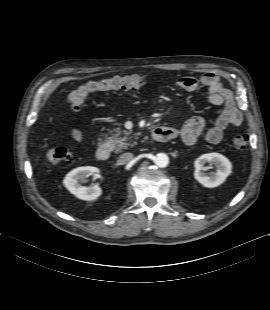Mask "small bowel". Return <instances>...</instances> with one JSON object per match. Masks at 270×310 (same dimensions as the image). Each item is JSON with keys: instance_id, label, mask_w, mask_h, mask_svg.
<instances>
[{"instance_id": "small-bowel-1", "label": "small bowel", "mask_w": 270, "mask_h": 310, "mask_svg": "<svg viewBox=\"0 0 270 310\" xmlns=\"http://www.w3.org/2000/svg\"><path fill=\"white\" fill-rule=\"evenodd\" d=\"M177 85L184 91L193 92L200 86L207 87L208 100L212 105L222 106L223 110L215 123L206 132V140L211 144L219 143L228 127H238L242 123V115L236 106L233 92L224 86L219 76L214 72H206L200 78L193 76L181 77ZM174 129L176 136L180 135L187 145H194L205 128V121L201 117L189 119L180 129ZM71 137L78 143L84 141V134L78 128L70 130Z\"/></svg>"}]
</instances>
